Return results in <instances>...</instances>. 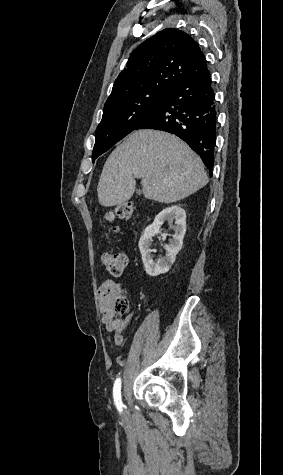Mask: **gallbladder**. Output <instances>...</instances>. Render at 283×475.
Here are the masks:
<instances>
[{"label":"gallbladder","mask_w":283,"mask_h":475,"mask_svg":"<svg viewBox=\"0 0 283 475\" xmlns=\"http://www.w3.org/2000/svg\"><path fill=\"white\" fill-rule=\"evenodd\" d=\"M137 194H140V190H136Z\"/></svg>","instance_id":"bac80fb5"}]
</instances>
